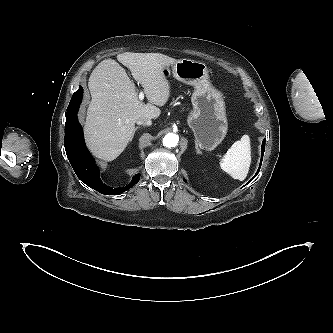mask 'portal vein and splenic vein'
<instances>
[{
  "instance_id": "obj_1",
  "label": "portal vein and splenic vein",
  "mask_w": 333,
  "mask_h": 333,
  "mask_svg": "<svg viewBox=\"0 0 333 333\" xmlns=\"http://www.w3.org/2000/svg\"><path fill=\"white\" fill-rule=\"evenodd\" d=\"M144 99V93L141 91L139 93V100L142 101Z\"/></svg>"
}]
</instances>
